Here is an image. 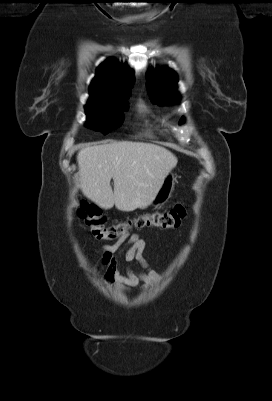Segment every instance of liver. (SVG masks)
<instances>
[{"instance_id": "1", "label": "liver", "mask_w": 272, "mask_h": 401, "mask_svg": "<svg viewBox=\"0 0 272 401\" xmlns=\"http://www.w3.org/2000/svg\"><path fill=\"white\" fill-rule=\"evenodd\" d=\"M77 162L80 188L88 199L104 209L115 205L131 212L152 204L178 159L159 145L120 141L85 147Z\"/></svg>"}]
</instances>
